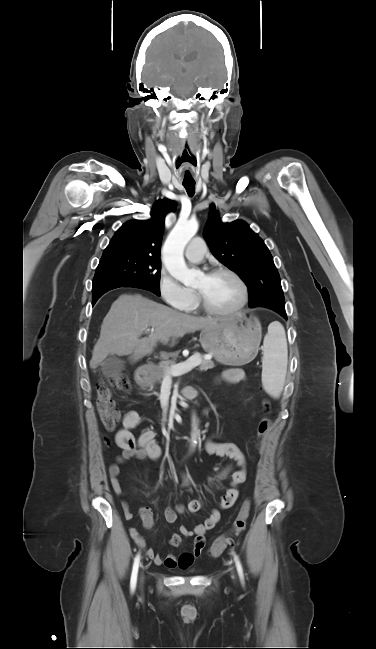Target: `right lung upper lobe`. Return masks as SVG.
Segmentation results:
<instances>
[{"instance_id": "right-lung-upper-lobe-1", "label": "right lung upper lobe", "mask_w": 376, "mask_h": 649, "mask_svg": "<svg viewBox=\"0 0 376 649\" xmlns=\"http://www.w3.org/2000/svg\"><path fill=\"white\" fill-rule=\"evenodd\" d=\"M176 203L169 199L158 200L149 220H130L114 234L103 255L113 253H140L160 256L165 216L175 210Z\"/></svg>"}]
</instances>
